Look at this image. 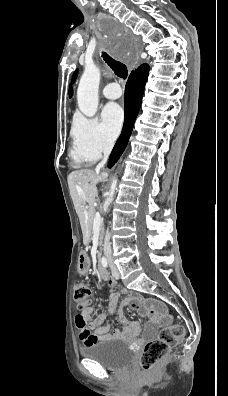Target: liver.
<instances>
[{
    "label": "liver",
    "mask_w": 228,
    "mask_h": 396,
    "mask_svg": "<svg viewBox=\"0 0 228 396\" xmlns=\"http://www.w3.org/2000/svg\"><path fill=\"white\" fill-rule=\"evenodd\" d=\"M107 173L98 170H75L68 175V185L74 208L80 220L84 242L90 232V220L94 214V202L97 196L96 185L107 178Z\"/></svg>",
    "instance_id": "liver-1"
}]
</instances>
